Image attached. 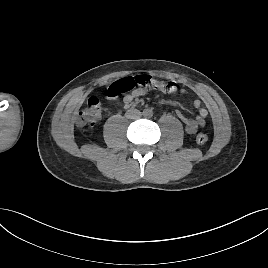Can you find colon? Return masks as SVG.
<instances>
[{
  "instance_id": "1",
  "label": "colon",
  "mask_w": 268,
  "mask_h": 268,
  "mask_svg": "<svg viewBox=\"0 0 268 268\" xmlns=\"http://www.w3.org/2000/svg\"><path fill=\"white\" fill-rule=\"evenodd\" d=\"M144 88L146 90L155 89L164 93H175L180 91L178 85L171 80L159 81L150 75H136L122 78L112 83L106 94L109 98H117L123 93L129 92L136 88ZM101 105L97 97H91L87 105L80 111L77 122L80 126L92 127L101 119ZM195 140L198 144L207 142L208 137L204 133L196 135Z\"/></svg>"
}]
</instances>
